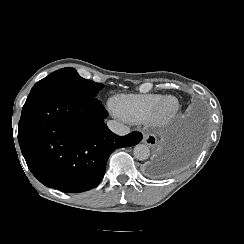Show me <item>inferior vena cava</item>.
I'll list each match as a JSON object with an SVG mask.
<instances>
[{
    "mask_svg": "<svg viewBox=\"0 0 244 244\" xmlns=\"http://www.w3.org/2000/svg\"><path fill=\"white\" fill-rule=\"evenodd\" d=\"M107 126L112 132H114L118 135H121V136L126 135L130 132L129 127H127L124 124L117 122L116 120H109L107 122Z\"/></svg>",
    "mask_w": 244,
    "mask_h": 244,
    "instance_id": "1",
    "label": "inferior vena cava"
}]
</instances>
